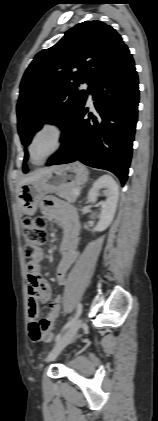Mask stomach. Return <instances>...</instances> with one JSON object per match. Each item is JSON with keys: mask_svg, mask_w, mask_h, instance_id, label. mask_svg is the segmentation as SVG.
<instances>
[{"mask_svg": "<svg viewBox=\"0 0 158 421\" xmlns=\"http://www.w3.org/2000/svg\"><path fill=\"white\" fill-rule=\"evenodd\" d=\"M88 179V170L80 162L54 166L52 170L18 190V202L23 214H35L44 193L56 192L83 185Z\"/></svg>", "mask_w": 158, "mask_h": 421, "instance_id": "obj_1", "label": "stomach"}]
</instances>
